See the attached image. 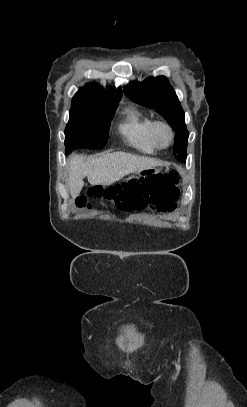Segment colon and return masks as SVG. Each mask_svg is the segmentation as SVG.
Instances as JSON below:
<instances>
[{
	"mask_svg": "<svg viewBox=\"0 0 247 407\" xmlns=\"http://www.w3.org/2000/svg\"><path fill=\"white\" fill-rule=\"evenodd\" d=\"M179 193V174L172 170L132 179L107 189L95 186L88 190L87 195L110 201L120 211L134 212L141 211L148 203H173ZM76 203L80 207L85 206L86 196L79 197Z\"/></svg>",
	"mask_w": 247,
	"mask_h": 407,
	"instance_id": "colon-1",
	"label": "colon"
}]
</instances>
